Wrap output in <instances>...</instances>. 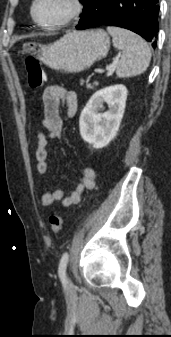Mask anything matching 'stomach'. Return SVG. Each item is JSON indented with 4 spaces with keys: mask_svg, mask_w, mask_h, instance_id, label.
Returning <instances> with one entry per match:
<instances>
[{
    "mask_svg": "<svg viewBox=\"0 0 171 337\" xmlns=\"http://www.w3.org/2000/svg\"><path fill=\"white\" fill-rule=\"evenodd\" d=\"M110 38L101 29L71 31L50 45L34 42L23 44V51L36 53L50 68L64 73H77L108 54Z\"/></svg>",
    "mask_w": 171,
    "mask_h": 337,
    "instance_id": "0dacf381",
    "label": "stomach"
}]
</instances>
